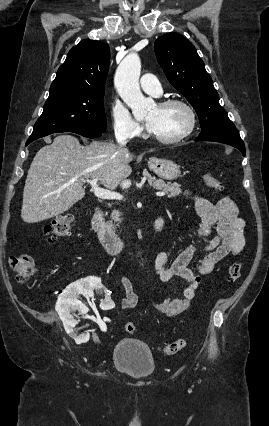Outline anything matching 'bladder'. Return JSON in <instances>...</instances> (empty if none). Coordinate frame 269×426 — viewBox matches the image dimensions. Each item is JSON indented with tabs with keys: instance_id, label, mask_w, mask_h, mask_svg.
Wrapping results in <instances>:
<instances>
[{
	"instance_id": "31cf9c89",
	"label": "bladder",
	"mask_w": 269,
	"mask_h": 426,
	"mask_svg": "<svg viewBox=\"0 0 269 426\" xmlns=\"http://www.w3.org/2000/svg\"><path fill=\"white\" fill-rule=\"evenodd\" d=\"M112 363L118 370L143 378L155 370V359L150 348L136 338H124L113 349Z\"/></svg>"
}]
</instances>
